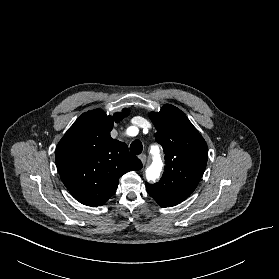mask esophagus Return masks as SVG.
Instances as JSON below:
<instances>
[{
	"instance_id": "1",
	"label": "esophagus",
	"mask_w": 279,
	"mask_h": 279,
	"mask_svg": "<svg viewBox=\"0 0 279 279\" xmlns=\"http://www.w3.org/2000/svg\"><path fill=\"white\" fill-rule=\"evenodd\" d=\"M139 159L141 160L142 164L145 165L146 163V155L145 154H140Z\"/></svg>"
}]
</instances>
